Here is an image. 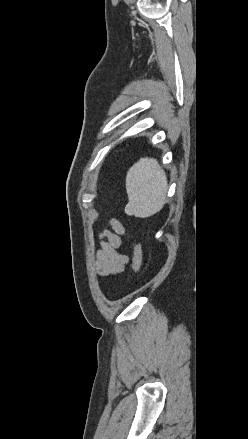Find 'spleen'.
I'll return each instance as SVG.
<instances>
[{"instance_id":"1","label":"spleen","mask_w":248,"mask_h":439,"mask_svg":"<svg viewBox=\"0 0 248 439\" xmlns=\"http://www.w3.org/2000/svg\"><path fill=\"white\" fill-rule=\"evenodd\" d=\"M167 177L158 161L141 158L127 172L126 212L136 217H150L159 212L166 201Z\"/></svg>"}]
</instances>
